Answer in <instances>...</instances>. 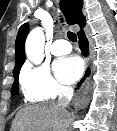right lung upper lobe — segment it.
<instances>
[{
	"instance_id": "1",
	"label": "right lung upper lobe",
	"mask_w": 117,
	"mask_h": 131,
	"mask_svg": "<svg viewBox=\"0 0 117 131\" xmlns=\"http://www.w3.org/2000/svg\"><path fill=\"white\" fill-rule=\"evenodd\" d=\"M61 6L64 10L67 22L72 24H78L81 29L86 24L85 17L83 15L82 0H61ZM29 31L28 24H23L18 32L16 42H15V68H14V76L19 75L20 68L25 61V51H24V43ZM83 31H79L78 34Z\"/></svg>"
}]
</instances>
